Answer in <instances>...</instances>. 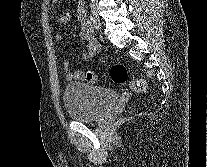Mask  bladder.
Here are the masks:
<instances>
[{"label": "bladder", "mask_w": 207, "mask_h": 167, "mask_svg": "<svg viewBox=\"0 0 207 167\" xmlns=\"http://www.w3.org/2000/svg\"><path fill=\"white\" fill-rule=\"evenodd\" d=\"M117 98L118 93L112 89L84 82L67 83L62 94L66 112L73 120L80 122L98 119Z\"/></svg>", "instance_id": "31cf9c89"}]
</instances>
